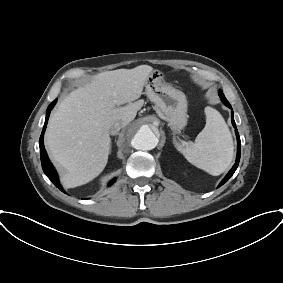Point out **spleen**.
Masks as SVG:
<instances>
[{"label": "spleen", "instance_id": "1", "mask_svg": "<svg viewBox=\"0 0 283 283\" xmlns=\"http://www.w3.org/2000/svg\"><path fill=\"white\" fill-rule=\"evenodd\" d=\"M206 125L195 143L177 145V149L194 166L210 175L222 174L233 160V139L222 115L211 107L205 108Z\"/></svg>", "mask_w": 283, "mask_h": 283}]
</instances>
